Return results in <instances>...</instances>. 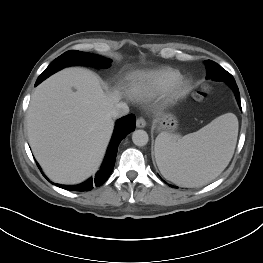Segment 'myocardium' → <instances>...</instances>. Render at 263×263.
<instances>
[{"mask_svg":"<svg viewBox=\"0 0 263 263\" xmlns=\"http://www.w3.org/2000/svg\"><path fill=\"white\" fill-rule=\"evenodd\" d=\"M191 87V80L187 77H181L168 89L169 98L177 99L183 97L189 93Z\"/></svg>","mask_w":263,"mask_h":263,"instance_id":"obj_1","label":"myocardium"}]
</instances>
